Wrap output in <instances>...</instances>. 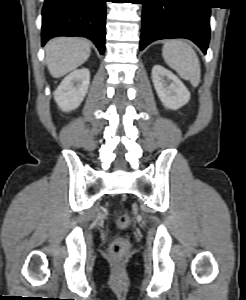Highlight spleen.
I'll return each instance as SVG.
<instances>
[{
    "instance_id": "3e777b00",
    "label": "spleen",
    "mask_w": 246,
    "mask_h": 300,
    "mask_svg": "<svg viewBox=\"0 0 246 300\" xmlns=\"http://www.w3.org/2000/svg\"><path fill=\"white\" fill-rule=\"evenodd\" d=\"M162 54L167 65L180 77L189 80L193 87L198 86L201 77L200 62L196 52L187 42L168 40L164 43Z\"/></svg>"
}]
</instances>
